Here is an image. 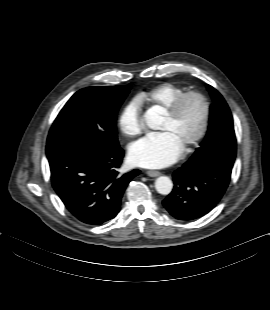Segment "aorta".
<instances>
[{
	"mask_svg": "<svg viewBox=\"0 0 270 310\" xmlns=\"http://www.w3.org/2000/svg\"><path fill=\"white\" fill-rule=\"evenodd\" d=\"M144 119L149 128L158 130L162 124V117L155 111H148L144 115ZM173 188V183L169 177L160 176L155 181V189L162 195H168Z\"/></svg>",
	"mask_w": 270,
	"mask_h": 310,
	"instance_id": "aorta-1",
	"label": "aorta"
}]
</instances>
